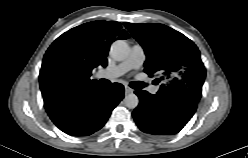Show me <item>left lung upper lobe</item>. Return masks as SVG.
Masks as SVG:
<instances>
[{
	"mask_svg": "<svg viewBox=\"0 0 248 158\" xmlns=\"http://www.w3.org/2000/svg\"><path fill=\"white\" fill-rule=\"evenodd\" d=\"M144 48V71L160 74L165 80L157 95L198 103L206 69L197 46L180 32L163 24L124 23ZM159 82V79H156Z\"/></svg>",
	"mask_w": 248,
	"mask_h": 158,
	"instance_id": "obj_1",
	"label": "left lung upper lobe"
}]
</instances>
